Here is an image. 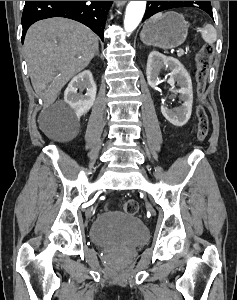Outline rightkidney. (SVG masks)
<instances>
[{
  "instance_id": "obj_1",
  "label": "right kidney",
  "mask_w": 237,
  "mask_h": 300,
  "mask_svg": "<svg viewBox=\"0 0 237 300\" xmlns=\"http://www.w3.org/2000/svg\"><path fill=\"white\" fill-rule=\"evenodd\" d=\"M78 89L80 93H78ZM86 91L85 95H82ZM96 83L90 71H82L70 81L65 93L64 101L70 105L78 119L88 113L96 97Z\"/></svg>"
}]
</instances>
